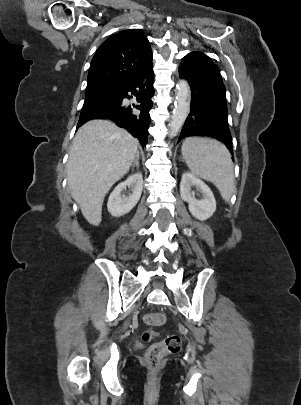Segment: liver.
I'll return each instance as SVG.
<instances>
[{
    "instance_id": "1",
    "label": "liver",
    "mask_w": 301,
    "mask_h": 405,
    "mask_svg": "<svg viewBox=\"0 0 301 405\" xmlns=\"http://www.w3.org/2000/svg\"><path fill=\"white\" fill-rule=\"evenodd\" d=\"M138 140L107 120H91L74 137L67 162L72 198L86 220L101 222L105 195L130 169Z\"/></svg>"
}]
</instances>
